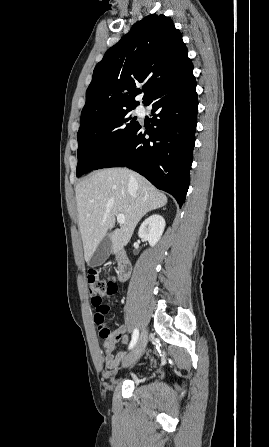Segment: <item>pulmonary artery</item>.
Masks as SVG:
<instances>
[{
	"label": "pulmonary artery",
	"instance_id": "pulmonary-artery-1",
	"mask_svg": "<svg viewBox=\"0 0 269 447\" xmlns=\"http://www.w3.org/2000/svg\"><path fill=\"white\" fill-rule=\"evenodd\" d=\"M139 109H140V110H143L144 108H143V106H140Z\"/></svg>",
	"mask_w": 269,
	"mask_h": 447
}]
</instances>
